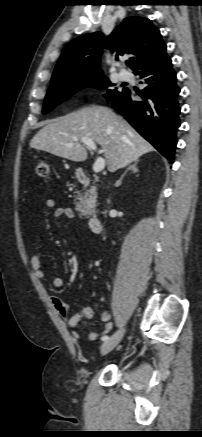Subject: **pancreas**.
<instances>
[{
    "mask_svg": "<svg viewBox=\"0 0 202 437\" xmlns=\"http://www.w3.org/2000/svg\"><path fill=\"white\" fill-rule=\"evenodd\" d=\"M97 190L92 186L86 193L81 194L78 201L75 203V210L80 212V216H87L89 214V205L96 203Z\"/></svg>",
    "mask_w": 202,
    "mask_h": 437,
    "instance_id": "obj_1",
    "label": "pancreas"
}]
</instances>
